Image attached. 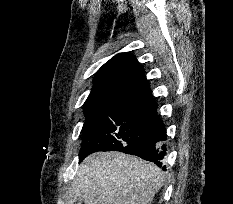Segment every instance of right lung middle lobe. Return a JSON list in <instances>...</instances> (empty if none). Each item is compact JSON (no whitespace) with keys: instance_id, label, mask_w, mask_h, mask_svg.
<instances>
[{"instance_id":"dd1d6c3e","label":"right lung middle lobe","mask_w":233,"mask_h":204,"mask_svg":"<svg viewBox=\"0 0 233 204\" xmlns=\"http://www.w3.org/2000/svg\"><path fill=\"white\" fill-rule=\"evenodd\" d=\"M163 131L152 102L119 103L86 116L82 146L117 150Z\"/></svg>"}]
</instances>
